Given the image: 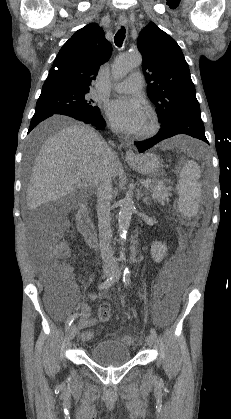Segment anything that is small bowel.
Segmentation results:
<instances>
[{"mask_svg":"<svg viewBox=\"0 0 231 419\" xmlns=\"http://www.w3.org/2000/svg\"><path fill=\"white\" fill-rule=\"evenodd\" d=\"M170 263L171 261L162 271L156 287L158 295L162 297V303L165 306V315L167 317H172L174 315L179 302L178 289L174 282L167 278V271L171 266ZM102 297L103 295H99L95 298ZM80 309L81 319L78 326L82 331V338L89 341L93 337V333L88 329L95 325L96 319L90 316V308L86 304H81Z\"/></svg>","mask_w":231,"mask_h":419,"instance_id":"1","label":"small bowel"}]
</instances>
